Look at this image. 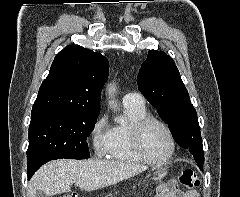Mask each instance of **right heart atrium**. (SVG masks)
Masks as SVG:
<instances>
[{"instance_id":"right-heart-atrium-1","label":"right heart atrium","mask_w":240,"mask_h":197,"mask_svg":"<svg viewBox=\"0 0 240 197\" xmlns=\"http://www.w3.org/2000/svg\"><path fill=\"white\" fill-rule=\"evenodd\" d=\"M90 139L93 150L97 156L108 153L110 143V127L105 114L99 116L92 125Z\"/></svg>"}]
</instances>
